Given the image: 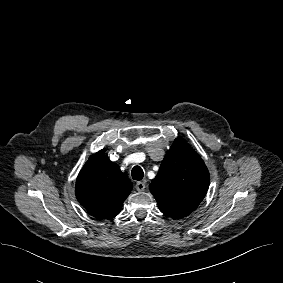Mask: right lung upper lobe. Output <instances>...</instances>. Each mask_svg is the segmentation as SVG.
Here are the masks:
<instances>
[{
    "label": "right lung upper lobe",
    "mask_w": 283,
    "mask_h": 283,
    "mask_svg": "<svg viewBox=\"0 0 283 283\" xmlns=\"http://www.w3.org/2000/svg\"><path fill=\"white\" fill-rule=\"evenodd\" d=\"M132 187L128 177L102 149L92 155L81 169L75 193L90 215L98 219H112L119 214Z\"/></svg>",
    "instance_id": "cb5924a9"
}]
</instances>
